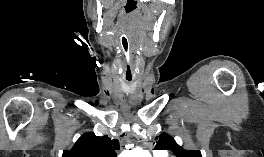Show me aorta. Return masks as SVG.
Instances as JSON below:
<instances>
[{
	"label": "aorta",
	"instance_id": "762f6f07",
	"mask_svg": "<svg viewBox=\"0 0 264 157\" xmlns=\"http://www.w3.org/2000/svg\"><path fill=\"white\" fill-rule=\"evenodd\" d=\"M125 155L126 157H150L147 151L139 147L126 151Z\"/></svg>",
	"mask_w": 264,
	"mask_h": 157
}]
</instances>
